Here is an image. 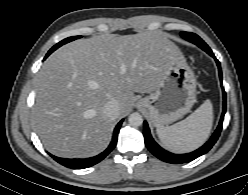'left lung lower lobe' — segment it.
<instances>
[{
	"label": "left lung lower lobe",
	"instance_id": "0a47b994",
	"mask_svg": "<svg viewBox=\"0 0 248 195\" xmlns=\"http://www.w3.org/2000/svg\"><path fill=\"white\" fill-rule=\"evenodd\" d=\"M204 51H206L209 55H211L215 59L217 66H218L220 82L222 83V72H221V66H220L219 61L215 58L211 49H204ZM222 92H223V111H222L219 125H218L217 129L215 130L214 134L212 135V137L210 138V140L208 142H206L202 147H200L199 149H197L191 153H187V154H173L171 152H168L165 149L161 148L154 141V139L152 138V136L150 134L148 124L145 121L143 134H144L145 144H146L147 148L149 149V151L153 155H155L157 158H159L160 160L168 162V163H173V164L190 162V161L198 158L199 156L207 153L212 148V146L215 144V142L217 141V139L221 133V130H222V123H223L224 115L226 112V93H225L223 88H222Z\"/></svg>",
	"mask_w": 248,
	"mask_h": 195
}]
</instances>
